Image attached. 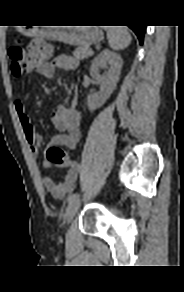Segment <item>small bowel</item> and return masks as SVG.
I'll return each instance as SVG.
<instances>
[{
  "label": "small bowel",
  "instance_id": "1",
  "mask_svg": "<svg viewBox=\"0 0 184 292\" xmlns=\"http://www.w3.org/2000/svg\"><path fill=\"white\" fill-rule=\"evenodd\" d=\"M77 65L78 62L76 59L69 55L61 54L56 56L52 61L42 62L33 66L31 70L45 78H51L54 76L56 68L72 70ZM77 98V89L74 88L69 106L60 105L54 110L52 123L58 131V134L52 140L53 145L74 149L79 143L81 132L80 114L75 109ZM14 107L29 149L32 155L36 156L39 153L41 138L36 133L30 117L26 113L24 102L17 99L14 102ZM44 164L47 167L53 166L47 158H45ZM59 166L66 169V173L61 182L55 183L50 177H44L42 180L45 189L55 198H63L68 194L73 189L79 175V165L75 161Z\"/></svg>",
  "mask_w": 184,
  "mask_h": 292
}]
</instances>
